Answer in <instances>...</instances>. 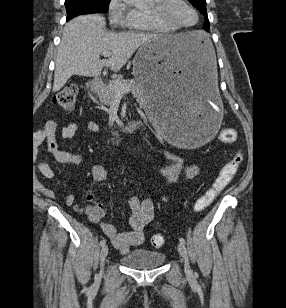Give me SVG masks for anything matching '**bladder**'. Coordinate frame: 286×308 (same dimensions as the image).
Wrapping results in <instances>:
<instances>
[{
	"instance_id": "bladder-1",
	"label": "bladder",
	"mask_w": 286,
	"mask_h": 308,
	"mask_svg": "<svg viewBox=\"0 0 286 308\" xmlns=\"http://www.w3.org/2000/svg\"><path fill=\"white\" fill-rule=\"evenodd\" d=\"M162 251H153L146 248L131 250L120 257L121 263L131 269L151 270L160 267L165 261Z\"/></svg>"
}]
</instances>
